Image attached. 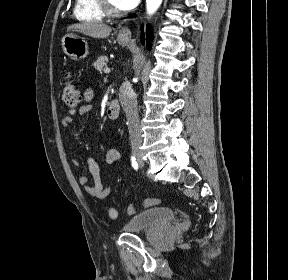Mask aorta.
Masks as SVG:
<instances>
[{"label": "aorta", "mask_w": 288, "mask_h": 280, "mask_svg": "<svg viewBox=\"0 0 288 280\" xmlns=\"http://www.w3.org/2000/svg\"><path fill=\"white\" fill-rule=\"evenodd\" d=\"M162 0H146V9L149 15H152L160 7Z\"/></svg>", "instance_id": "1"}]
</instances>
